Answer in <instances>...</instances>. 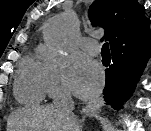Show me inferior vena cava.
I'll return each mask as SVG.
<instances>
[{"label": "inferior vena cava", "instance_id": "602c4592", "mask_svg": "<svg viewBox=\"0 0 151 131\" xmlns=\"http://www.w3.org/2000/svg\"><path fill=\"white\" fill-rule=\"evenodd\" d=\"M55 107L64 111L65 113L72 115L73 101L71 99L70 93L67 90L60 92L53 101ZM79 130V129H76Z\"/></svg>", "mask_w": 151, "mask_h": 131}]
</instances>
